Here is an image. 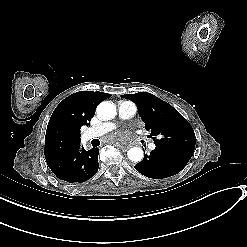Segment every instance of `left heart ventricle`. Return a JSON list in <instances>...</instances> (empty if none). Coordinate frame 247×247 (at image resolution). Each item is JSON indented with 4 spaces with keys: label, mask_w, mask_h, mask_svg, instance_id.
Segmentation results:
<instances>
[{
    "label": "left heart ventricle",
    "mask_w": 247,
    "mask_h": 247,
    "mask_svg": "<svg viewBox=\"0 0 247 247\" xmlns=\"http://www.w3.org/2000/svg\"><path fill=\"white\" fill-rule=\"evenodd\" d=\"M120 127L126 130H134V125L129 121L121 122Z\"/></svg>",
    "instance_id": "1"
}]
</instances>
